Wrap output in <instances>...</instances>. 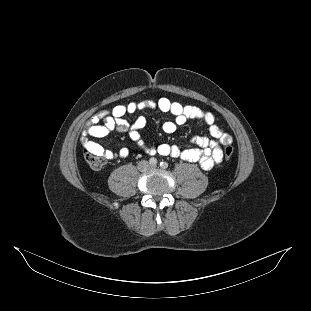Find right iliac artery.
<instances>
[{"label": "right iliac artery", "mask_w": 311, "mask_h": 311, "mask_svg": "<svg viewBox=\"0 0 311 311\" xmlns=\"http://www.w3.org/2000/svg\"><path fill=\"white\" fill-rule=\"evenodd\" d=\"M149 163H150V165L155 166L157 164V159L152 157V158H150Z\"/></svg>", "instance_id": "obj_1"}]
</instances>
